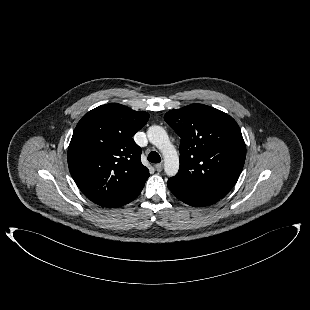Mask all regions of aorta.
Segmentation results:
<instances>
[{
  "label": "aorta",
  "mask_w": 310,
  "mask_h": 310,
  "mask_svg": "<svg viewBox=\"0 0 310 310\" xmlns=\"http://www.w3.org/2000/svg\"><path fill=\"white\" fill-rule=\"evenodd\" d=\"M147 137L150 143L161 151L165 173L168 176L176 175L179 170V156L165 129L158 125L150 126L147 130Z\"/></svg>",
  "instance_id": "obj_1"
}]
</instances>
